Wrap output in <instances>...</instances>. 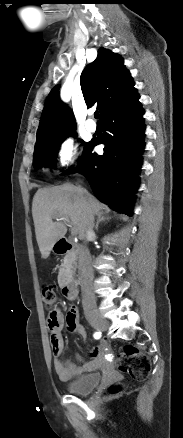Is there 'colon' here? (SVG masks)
<instances>
[{
	"label": "colon",
	"instance_id": "colon-1",
	"mask_svg": "<svg viewBox=\"0 0 183 438\" xmlns=\"http://www.w3.org/2000/svg\"><path fill=\"white\" fill-rule=\"evenodd\" d=\"M42 299L44 304L51 308L56 302V292L51 285H43ZM117 368L121 372L129 374L133 379L142 381L145 380L150 373V361L148 357L140 353L133 346H125L119 354L116 361ZM124 385L120 382L110 385L105 391L104 395L107 397L115 396L123 392Z\"/></svg>",
	"mask_w": 183,
	"mask_h": 438
}]
</instances>
